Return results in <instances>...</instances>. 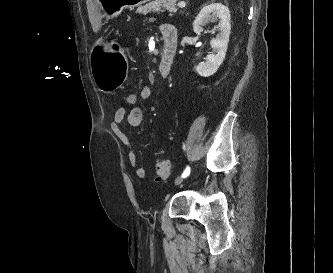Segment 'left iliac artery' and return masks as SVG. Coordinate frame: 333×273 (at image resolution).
Returning <instances> with one entry per match:
<instances>
[{"instance_id":"obj_1","label":"left iliac artery","mask_w":333,"mask_h":273,"mask_svg":"<svg viewBox=\"0 0 333 273\" xmlns=\"http://www.w3.org/2000/svg\"><path fill=\"white\" fill-rule=\"evenodd\" d=\"M183 149H185V145H183ZM189 174H190V167L189 166H187L186 167V169L184 170V172L182 173V178H186V177H188L189 176Z\"/></svg>"}]
</instances>
